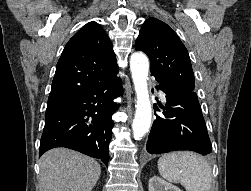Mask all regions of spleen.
<instances>
[{
    "mask_svg": "<svg viewBox=\"0 0 251 191\" xmlns=\"http://www.w3.org/2000/svg\"><path fill=\"white\" fill-rule=\"evenodd\" d=\"M160 175L181 183L186 191H210L212 169L209 161L194 151H171L158 159Z\"/></svg>",
    "mask_w": 251,
    "mask_h": 191,
    "instance_id": "spleen-1",
    "label": "spleen"
}]
</instances>
